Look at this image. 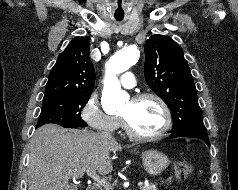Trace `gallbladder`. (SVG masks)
<instances>
[{
    "label": "gallbladder",
    "instance_id": "gallbladder-1",
    "mask_svg": "<svg viewBox=\"0 0 238 190\" xmlns=\"http://www.w3.org/2000/svg\"><path fill=\"white\" fill-rule=\"evenodd\" d=\"M71 190H77V185H71Z\"/></svg>",
    "mask_w": 238,
    "mask_h": 190
}]
</instances>
